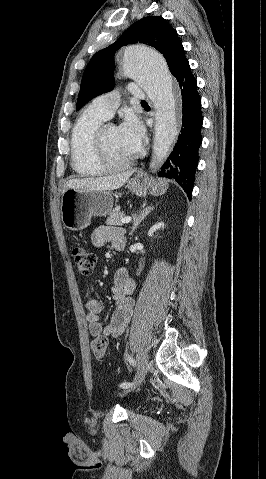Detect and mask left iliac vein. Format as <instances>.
Segmentation results:
<instances>
[{"mask_svg":"<svg viewBox=\"0 0 266 479\" xmlns=\"http://www.w3.org/2000/svg\"><path fill=\"white\" fill-rule=\"evenodd\" d=\"M137 374H136V377L133 381V385L127 389L126 391L124 392H129L131 390H134L136 388V386H138L142 380L144 379L146 373H147V369H148V355L146 353V351L144 350H141L138 354V363H137Z\"/></svg>","mask_w":266,"mask_h":479,"instance_id":"obj_1","label":"left iliac vein"}]
</instances>
